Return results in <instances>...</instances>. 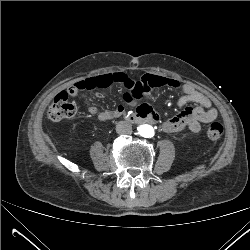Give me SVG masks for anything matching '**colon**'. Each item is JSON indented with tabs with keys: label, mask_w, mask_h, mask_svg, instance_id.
Returning a JSON list of instances; mask_svg holds the SVG:
<instances>
[{
	"label": "colon",
	"mask_w": 250,
	"mask_h": 250,
	"mask_svg": "<svg viewBox=\"0 0 250 250\" xmlns=\"http://www.w3.org/2000/svg\"><path fill=\"white\" fill-rule=\"evenodd\" d=\"M132 80L127 74L122 72L106 73L94 78L79 81L67 90L59 92L53 98L49 105L46 115L55 122L66 119H71L77 114V105L69 99L72 94L78 93L81 90H92L95 88H107L113 84H123L129 87V81ZM165 80L160 76L145 75L136 88L142 92H149L153 87L164 85ZM223 126L218 121H213L207 128V137L216 141L223 135Z\"/></svg>",
	"instance_id": "5ec220e1"
}]
</instances>
